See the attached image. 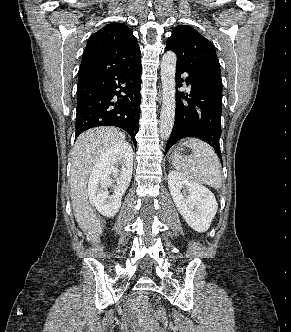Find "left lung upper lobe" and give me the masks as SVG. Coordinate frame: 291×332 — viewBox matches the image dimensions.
<instances>
[{
    "label": "left lung upper lobe",
    "mask_w": 291,
    "mask_h": 332,
    "mask_svg": "<svg viewBox=\"0 0 291 332\" xmlns=\"http://www.w3.org/2000/svg\"><path fill=\"white\" fill-rule=\"evenodd\" d=\"M165 50L174 51L177 63L190 71L213 70L220 73L214 45L190 26L174 27Z\"/></svg>",
    "instance_id": "left-lung-upper-lobe-1"
}]
</instances>
